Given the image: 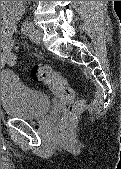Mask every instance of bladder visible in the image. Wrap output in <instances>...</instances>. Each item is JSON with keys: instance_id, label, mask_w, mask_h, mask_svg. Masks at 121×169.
<instances>
[{"instance_id": "1", "label": "bladder", "mask_w": 121, "mask_h": 169, "mask_svg": "<svg viewBox=\"0 0 121 169\" xmlns=\"http://www.w3.org/2000/svg\"><path fill=\"white\" fill-rule=\"evenodd\" d=\"M1 105L10 118L38 120L51 109L52 101L44 93L25 85L15 74H1Z\"/></svg>"}]
</instances>
